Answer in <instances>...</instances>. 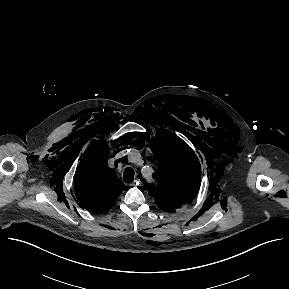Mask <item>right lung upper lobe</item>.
Segmentation results:
<instances>
[{
	"mask_svg": "<svg viewBox=\"0 0 289 289\" xmlns=\"http://www.w3.org/2000/svg\"><path fill=\"white\" fill-rule=\"evenodd\" d=\"M99 145H91L79 164L75 179L77 200L85 209L97 214L110 210L122 190L126 189L123 182L107 166V145Z\"/></svg>",
	"mask_w": 289,
	"mask_h": 289,
	"instance_id": "1",
	"label": "right lung upper lobe"
}]
</instances>
